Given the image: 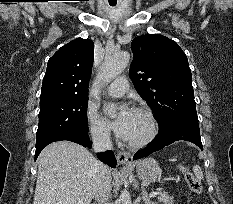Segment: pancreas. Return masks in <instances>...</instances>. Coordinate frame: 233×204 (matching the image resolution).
I'll use <instances>...</instances> for the list:
<instances>
[{
    "label": "pancreas",
    "instance_id": "1",
    "mask_svg": "<svg viewBox=\"0 0 233 204\" xmlns=\"http://www.w3.org/2000/svg\"><path fill=\"white\" fill-rule=\"evenodd\" d=\"M158 201L160 203H163V204H173V197L172 196H169L167 193L165 192H161L159 191L158 192Z\"/></svg>",
    "mask_w": 233,
    "mask_h": 204
}]
</instances>
